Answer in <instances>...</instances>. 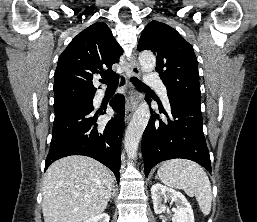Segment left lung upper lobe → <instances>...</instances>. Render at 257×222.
Wrapping results in <instances>:
<instances>
[{
  "label": "left lung upper lobe",
  "instance_id": "left-lung-upper-lobe-1",
  "mask_svg": "<svg viewBox=\"0 0 257 222\" xmlns=\"http://www.w3.org/2000/svg\"><path fill=\"white\" fill-rule=\"evenodd\" d=\"M138 50H151L169 96L201 104L197 59L193 47L172 27L151 21L143 30Z\"/></svg>",
  "mask_w": 257,
  "mask_h": 222
}]
</instances>
